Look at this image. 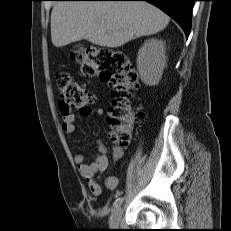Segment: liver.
<instances>
[{"label":"liver","mask_w":231,"mask_h":231,"mask_svg":"<svg viewBox=\"0 0 231 231\" xmlns=\"http://www.w3.org/2000/svg\"><path fill=\"white\" fill-rule=\"evenodd\" d=\"M168 23L169 17L147 2L59 1L51 12V39L55 47L86 39L117 48L162 31Z\"/></svg>","instance_id":"obj_1"}]
</instances>
